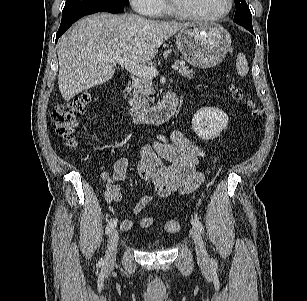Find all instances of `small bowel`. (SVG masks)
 I'll use <instances>...</instances> for the list:
<instances>
[{
	"mask_svg": "<svg viewBox=\"0 0 307 301\" xmlns=\"http://www.w3.org/2000/svg\"><path fill=\"white\" fill-rule=\"evenodd\" d=\"M205 156L206 151L203 147L178 130L160 135L154 145L144 146L140 151L137 172L151 185L154 194L141 197L133 208L134 214H140L155 195L167 198L174 193L194 191L204 180V173L198 167ZM163 160L171 164L166 166ZM128 162L126 156L119 157L114 163L113 174L101 167L103 195L107 202L122 200L119 184L126 177ZM119 226L121 230L128 231L132 228L133 222L122 219Z\"/></svg>",
	"mask_w": 307,
	"mask_h": 301,
	"instance_id": "small-bowel-1",
	"label": "small bowel"
}]
</instances>
